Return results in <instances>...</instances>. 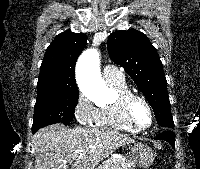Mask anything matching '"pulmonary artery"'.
I'll use <instances>...</instances> for the list:
<instances>
[{
    "label": "pulmonary artery",
    "instance_id": "obj_1",
    "mask_svg": "<svg viewBox=\"0 0 200 169\" xmlns=\"http://www.w3.org/2000/svg\"><path fill=\"white\" fill-rule=\"evenodd\" d=\"M102 75L107 83L124 80V75L117 67L113 65L104 66L102 69Z\"/></svg>",
    "mask_w": 200,
    "mask_h": 169
}]
</instances>
